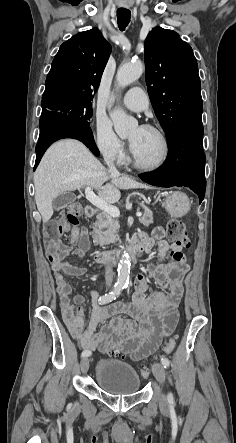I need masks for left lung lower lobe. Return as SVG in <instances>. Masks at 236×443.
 <instances>
[{"mask_svg": "<svg viewBox=\"0 0 236 443\" xmlns=\"http://www.w3.org/2000/svg\"><path fill=\"white\" fill-rule=\"evenodd\" d=\"M203 131L201 121L180 125L168 138L169 154L164 166L139 177L154 186L189 187L199 196L201 203L206 188Z\"/></svg>", "mask_w": 236, "mask_h": 443, "instance_id": "left-lung-lower-lobe-1", "label": "left lung lower lobe"}]
</instances>
